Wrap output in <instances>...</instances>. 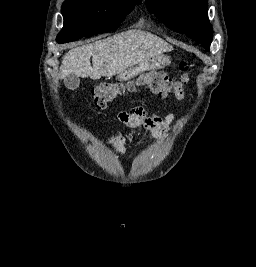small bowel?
I'll return each instance as SVG.
<instances>
[{
  "label": "small bowel",
  "instance_id": "obj_1",
  "mask_svg": "<svg viewBox=\"0 0 256 267\" xmlns=\"http://www.w3.org/2000/svg\"><path fill=\"white\" fill-rule=\"evenodd\" d=\"M117 118L120 122L131 128L144 127L151 131L157 140L163 139L171 129L174 114H167L160 117L142 107H133L129 110L119 112ZM102 143H111L114 152L118 156H123L125 152L126 139L115 129L111 136L103 139Z\"/></svg>",
  "mask_w": 256,
  "mask_h": 267
}]
</instances>
